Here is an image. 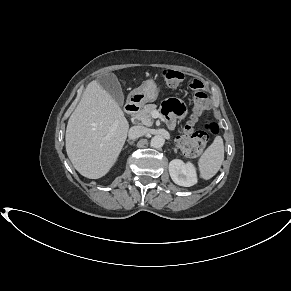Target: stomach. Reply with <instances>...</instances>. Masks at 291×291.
<instances>
[{
	"label": "stomach",
	"instance_id": "0dacf381",
	"mask_svg": "<svg viewBox=\"0 0 291 291\" xmlns=\"http://www.w3.org/2000/svg\"><path fill=\"white\" fill-rule=\"evenodd\" d=\"M160 88L154 80L145 81L140 87L134 89L129 94V100L137 105L153 102L159 95Z\"/></svg>",
	"mask_w": 291,
	"mask_h": 291
}]
</instances>
